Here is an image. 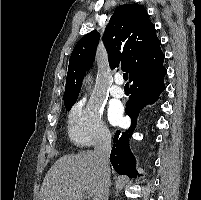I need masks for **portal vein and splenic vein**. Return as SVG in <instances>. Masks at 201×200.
Returning a JSON list of instances; mask_svg holds the SVG:
<instances>
[{
  "instance_id": "portal-vein-and-splenic-vein-1",
  "label": "portal vein and splenic vein",
  "mask_w": 201,
  "mask_h": 200,
  "mask_svg": "<svg viewBox=\"0 0 201 200\" xmlns=\"http://www.w3.org/2000/svg\"><path fill=\"white\" fill-rule=\"evenodd\" d=\"M86 195L91 196V194H90V193H88V192L86 193Z\"/></svg>"
}]
</instances>
